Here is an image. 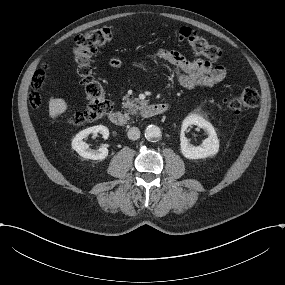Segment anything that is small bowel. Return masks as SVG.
<instances>
[{
	"label": "small bowel",
	"mask_w": 285,
	"mask_h": 285,
	"mask_svg": "<svg viewBox=\"0 0 285 285\" xmlns=\"http://www.w3.org/2000/svg\"><path fill=\"white\" fill-rule=\"evenodd\" d=\"M154 60H160L168 64L178 83L186 89L215 86L222 82L227 75V70L222 65L212 66L203 59L188 60L175 50L158 49L143 55L141 59L142 67L148 70L150 62ZM112 66L119 67L120 61L114 59Z\"/></svg>",
	"instance_id": "obj_1"
}]
</instances>
